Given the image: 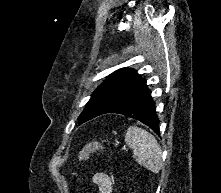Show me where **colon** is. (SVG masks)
<instances>
[{
	"label": "colon",
	"mask_w": 221,
	"mask_h": 193,
	"mask_svg": "<svg viewBox=\"0 0 221 193\" xmlns=\"http://www.w3.org/2000/svg\"><path fill=\"white\" fill-rule=\"evenodd\" d=\"M99 148H102V146L99 145V144H96V143L87 145V146L81 151V153H80V155H79V158H78L79 163H80V164L84 163V162L88 159L89 155H90L93 151H95V150H97V149H99Z\"/></svg>",
	"instance_id": "obj_1"
}]
</instances>
